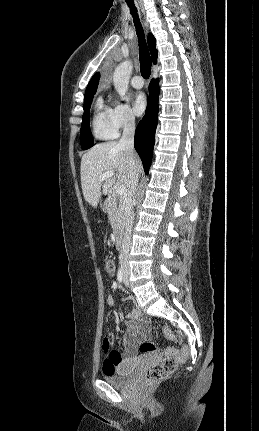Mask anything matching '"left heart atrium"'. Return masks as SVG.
I'll return each instance as SVG.
<instances>
[{
	"instance_id": "left-heart-atrium-1",
	"label": "left heart atrium",
	"mask_w": 259,
	"mask_h": 431,
	"mask_svg": "<svg viewBox=\"0 0 259 431\" xmlns=\"http://www.w3.org/2000/svg\"><path fill=\"white\" fill-rule=\"evenodd\" d=\"M133 110L136 115H142L147 107L146 97L143 93H137L133 98Z\"/></svg>"
}]
</instances>
